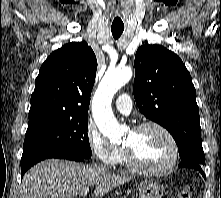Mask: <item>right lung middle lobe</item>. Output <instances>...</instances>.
Segmentation results:
<instances>
[{
    "mask_svg": "<svg viewBox=\"0 0 221 198\" xmlns=\"http://www.w3.org/2000/svg\"><path fill=\"white\" fill-rule=\"evenodd\" d=\"M88 117H48L28 123L21 165L49 153L65 151L85 158L92 155L88 139Z\"/></svg>",
    "mask_w": 221,
    "mask_h": 198,
    "instance_id": "dd1d6c3e",
    "label": "right lung middle lobe"
}]
</instances>
